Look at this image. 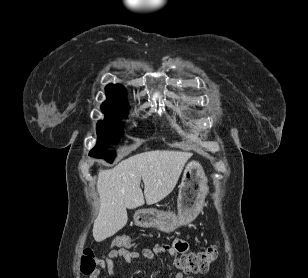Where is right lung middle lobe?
Segmentation results:
<instances>
[{"label": "right lung middle lobe", "mask_w": 308, "mask_h": 278, "mask_svg": "<svg viewBox=\"0 0 308 278\" xmlns=\"http://www.w3.org/2000/svg\"><path fill=\"white\" fill-rule=\"evenodd\" d=\"M122 127L114 121H100L97 123V145L89 153L92 157L106 158L107 161L111 162L115 157V152L110 151L105 154L101 153L103 146L110 143H117L119 136L122 134Z\"/></svg>", "instance_id": "obj_1"}]
</instances>
